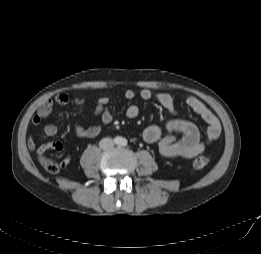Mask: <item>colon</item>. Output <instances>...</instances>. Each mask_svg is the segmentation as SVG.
<instances>
[{"instance_id": "colon-1", "label": "colon", "mask_w": 261, "mask_h": 254, "mask_svg": "<svg viewBox=\"0 0 261 254\" xmlns=\"http://www.w3.org/2000/svg\"><path fill=\"white\" fill-rule=\"evenodd\" d=\"M48 148L42 147L40 149V157L39 162L42 165V167L49 173H57L60 170L61 163L58 160L57 156L54 155H46L45 151ZM211 163V158L209 156H199L196 157L192 164L196 169H201L206 167Z\"/></svg>"}]
</instances>
